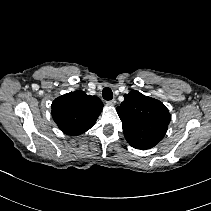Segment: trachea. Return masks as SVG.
Listing matches in <instances>:
<instances>
[{
  "label": "trachea",
  "instance_id": "1",
  "mask_svg": "<svg viewBox=\"0 0 211 211\" xmlns=\"http://www.w3.org/2000/svg\"><path fill=\"white\" fill-rule=\"evenodd\" d=\"M102 97L103 99L109 101L113 98V92L109 87H105L102 91Z\"/></svg>",
  "mask_w": 211,
  "mask_h": 211
}]
</instances>
